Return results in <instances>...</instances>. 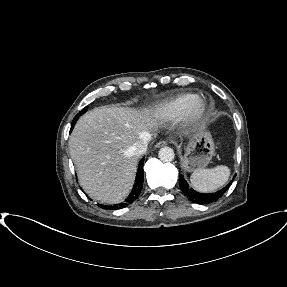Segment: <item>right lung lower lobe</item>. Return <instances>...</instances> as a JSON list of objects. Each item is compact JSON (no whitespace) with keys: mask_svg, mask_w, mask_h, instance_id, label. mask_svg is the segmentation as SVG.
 Returning a JSON list of instances; mask_svg holds the SVG:
<instances>
[{"mask_svg":"<svg viewBox=\"0 0 287 287\" xmlns=\"http://www.w3.org/2000/svg\"><path fill=\"white\" fill-rule=\"evenodd\" d=\"M73 127H71V130L73 129ZM143 165H144V158L141 159V161L139 163L134 187H133L130 195L126 198V200L120 204H116L113 206L112 205H110V206L103 205V206H101L103 209H111V210L121 209V208H124V207L128 206L129 204L133 203L137 199V197L139 196V194L142 190V187H143V180H144Z\"/></svg>","mask_w":287,"mask_h":287,"instance_id":"98d812e1","label":"right lung lower lobe"}]
</instances>
